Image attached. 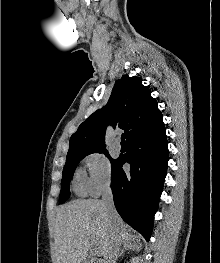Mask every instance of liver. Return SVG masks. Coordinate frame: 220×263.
<instances>
[{
    "mask_svg": "<svg viewBox=\"0 0 220 263\" xmlns=\"http://www.w3.org/2000/svg\"><path fill=\"white\" fill-rule=\"evenodd\" d=\"M127 228L118 214L110 220L97 199L75 200L60 206L54 223L55 263H81L93 243L103 257L97 263H106L114 235L121 243L134 238Z\"/></svg>",
    "mask_w": 220,
    "mask_h": 263,
    "instance_id": "obj_1",
    "label": "liver"
}]
</instances>
